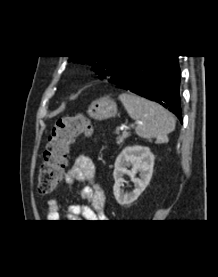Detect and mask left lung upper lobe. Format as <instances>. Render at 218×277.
<instances>
[{
	"instance_id": "1",
	"label": "left lung upper lobe",
	"mask_w": 218,
	"mask_h": 277,
	"mask_svg": "<svg viewBox=\"0 0 218 277\" xmlns=\"http://www.w3.org/2000/svg\"><path fill=\"white\" fill-rule=\"evenodd\" d=\"M135 56H70L69 61L89 64L102 78H110Z\"/></svg>"
}]
</instances>
